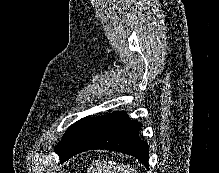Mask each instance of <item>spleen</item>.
Here are the masks:
<instances>
[{
    "label": "spleen",
    "instance_id": "3e777b00",
    "mask_svg": "<svg viewBox=\"0 0 219 173\" xmlns=\"http://www.w3.org/2000/svg\"><path fill=\"white\" fill-rule=\"evenodd\" d=\"M92 173H137L132 167L117 163H98L96 168L91 167Z\"/></svg>",
    "mask_w": 219,
    "mask_h": 173
}]
</instances>
